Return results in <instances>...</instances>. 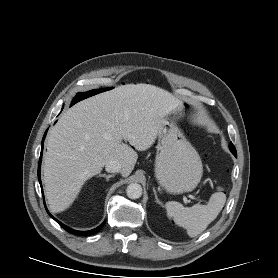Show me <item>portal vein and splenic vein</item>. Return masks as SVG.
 <instances>
[{"instance_id": "1", "label": "portal vein and splenic vein", "mask_w": 278, "mask_h": 278, "mask_svg": "<svg viewBox=\"0 0 278 278\" xmlns=\"http://www.w3.org/2000/svg\"><path fill=\"white\" fill-rule=\"evenodd\" d=\"M188 197L189 198H191V199H194V200H199V199H197L195 196H193V195H188ZM185 202H187V200H185Z\"/></svg>"}]
</instances>
